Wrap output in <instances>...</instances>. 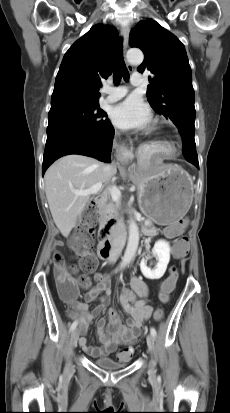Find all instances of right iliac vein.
I'll list each match as a JSON object with an SVG mask.
<instances>
[{
  "instance_id": "obj_1",
  "label": "right iliac vein",
  "mask_w": 230,
  "mask_h": 413,
  "mask_svg": "<svg viewBox=\"0 0 230 413\" xmlns=\"http://www.w3.org/2000/svg\"><path fill=\"white\" fill-rule=\"evenodd\" d=\"M79 334L78 330L74 329L70 335V355L72 354L73 349L76 347L77 342H78ZM71 359H69L67 367L68 369L71 368Z\"/></svg>"
}]
</instances>
